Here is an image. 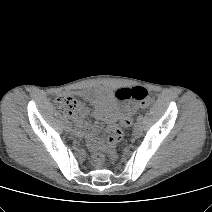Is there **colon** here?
Segmentation results:
<instances>
[{
	"instance_id": "colon-1",
	"label": "colon",
	"mask_w": 212,
	"mask_h": 212,
	"mask_svg": "<svg viewBox=\"0 0 212 212\" xmlns=\"http://www.w3.org/2000/svg\"><path fill=\"white\" fill-rule=\"evenodd\" d=\"M115 96L118 100L122 101L133 100L141 106H146L151 101L149 92L142 86L121 88L116 92ZM58 104L63 114H66L75 120L83 117L86 114L85 106L72 96L59 97ZM122 137V131L119 128H116L103 146V152L110 160L116 159L117 145L121 141ZM104 154L98 153L96 155V161L98 163L103 161Z\"/></svg>"
}]
</instances>
